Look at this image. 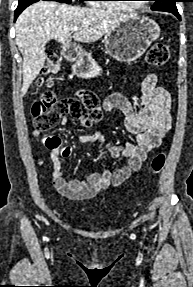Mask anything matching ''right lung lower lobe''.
<instances>
[{
  "label": "right lung lower lobe",
  "instance_id": "obj_1",
  "mask_svg": "<svg viewBox=\"0 0 193 287\" xmlns=\"http://www.w3.org/2000/svg\"><path fill=\"white\" fill-rule=\"evenodd\" d=\"M37 2V0H19V4L17 9L15 10V20L17 19V17L20 15V13L29 5H31L32 3Z\"/></svg>",
  "mask_w": 193,
  "mask_h": 287
}]
</instances>
